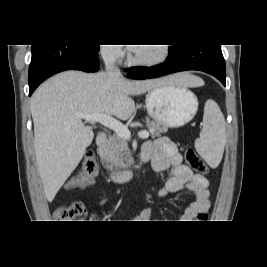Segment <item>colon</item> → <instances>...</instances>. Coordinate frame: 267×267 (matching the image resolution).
Instances as JSON below:
<instances>
[{
	"label": "colon",
	"mask_w": 267,
	"mask_h": 267,
	"mask_svg": "<svg viewBox=\"0 0 267 267\" xmlns=\"http://www.w3.org/2000/svg\"><path fill=\"white\" fill-rule=\"evenodd\" d=\"M185 160L188 166L199 174L207 173V166L201 157L192 149L186 148L185 150ZM98 165L93 152L88 151L83 160L82 168L79 175L76 177L81 184L87 183L94 174L97 172ZM86 206L82 201H73L67 206L59 207L54 212L55 222L59 223H74L80 222L86 215ZM208 215L206 213H201L199 215L200 222H206Z\"/></svg>",
	"instance_id": "obj_1"
}]
</instances>
